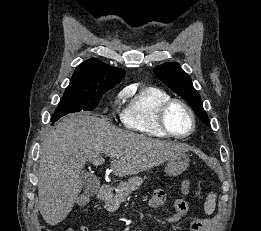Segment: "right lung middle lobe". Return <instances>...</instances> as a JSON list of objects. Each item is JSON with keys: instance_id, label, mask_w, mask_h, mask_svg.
I'll use <instances>...</instances> for the list:
<instances>
[{"instance_id": "dd1d6c3e", "label": "right lung middle lobe", "mask_w": 261, "mask_h": 231, "mask_svg": "<svg viewBox=\"0 0 261 231\" xmlns=\"http://www.w3.org/2000/svg\"><path fill=\"white\" fill-rule=\"evenodd\" d=\"M105 92L77 93L65 92L54 112L51 122H56L62 116L79 111H92L96 108Z\"/></svg>"}]
</instances>
